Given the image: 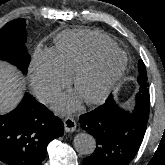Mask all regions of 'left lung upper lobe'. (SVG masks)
I'll return each instance as SVG.
<instances>
[{"label": "left lung upper lobe", "mask_w": 165, "mask_h": 165, "mask_svg": "<svg viewBox=\"0 0 165 165\" xmlns=\"http://www.w3.org/2000/svg\"><path fill=\"white\" fill-rule=\"evenodd\" d=\"M138 69H139V76H138L139 92L136 95V101H137L136 107L149 110L150 107V97H149V89H148L149 85L147 81L145 65L142 60H139ZM108 103L115 105L112 97L108 99Z\"/></svg>", "instance_id": "5c2ea615"}]
</instances>
